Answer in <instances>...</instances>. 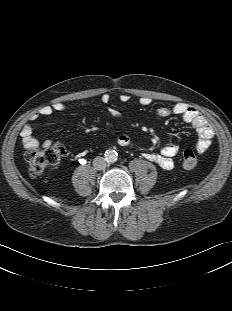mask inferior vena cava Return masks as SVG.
Segmentation results:
<instances>
[{
	"label": "inferior vena cava",
	"instance_id": "inferior-vena-cava-1",
	"mask_svg": "<svg viewBox=\"0 0 232 311\" xmlns=\"http://www.w3.org/2000/svg\"><path fill=\"white\" fill-rule=\"evenodd\" d=\"M93 166L97 170H104L107 166V162H106L105 158L98 156V157L94 158Z\"/></svg>",
	"mask_w": 232,
	"mask_h": 311
}]
</instances>
